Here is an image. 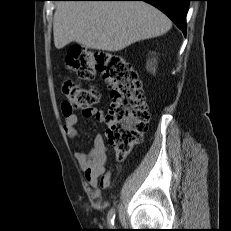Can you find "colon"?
<instances>
[{"label": "colon", "mask_w": 231, "mask_h": 231, "mask_svg": "<svg viewBox=\"0 0 231 231\" xmlns=\"http://www.w3.org/2000/svg\"><path fill=\"white\" fill-rule=\"evenodd\" d=\"M68 67L82 80L91 81L101 74L111 87L112 101L107 115V135L119 158L141 142L148 129L150 115L142 84L127 59L114 52L72 49L66 56ZM62 90L65 114L73 110H91L100 100L94 88L81 87L72 80H64Z\"/></svg>", "instance_id": "obj_1"}]
</instances>
